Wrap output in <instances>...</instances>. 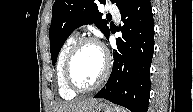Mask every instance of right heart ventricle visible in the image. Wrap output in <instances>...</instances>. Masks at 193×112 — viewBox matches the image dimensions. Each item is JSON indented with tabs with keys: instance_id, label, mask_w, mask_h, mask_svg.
I'll list each match as a JSON object with an SVG mask.
<instances>
[{
	"instance_id": "1",
	"label": "right heart ventricle",
	"mask_w": 193,
	"mask_h": 112,
	"mask_svg": "<svg viewBox=\"0 0 193 112\" xmlns=\"http://www.w3.org/2000/svg\"><path fill=\"white\" fill-rule=\"evenodd\" d=\"M77 41V34L70 35L62 44L56 62V81L59 95L66 100L73 99L76 93L69 89L64 77V64L72 45Z\"/></svg>"
}]
</instances>
